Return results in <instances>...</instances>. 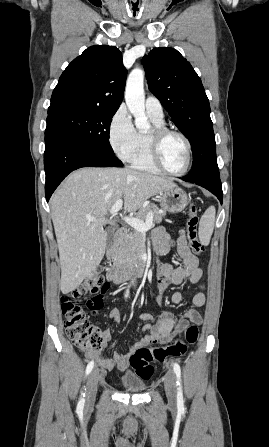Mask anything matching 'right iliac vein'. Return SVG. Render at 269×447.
Instances as JSON below:
<instances>
[{
  "mask_svg": "<svg viewBox=\"0 0 269 447\" xmlns=\"http://www.w3.org/2000/svg\"><path fill=\"white\" fill-rule=\"evenodd\" d=\"M99 378H100L99 370L98 369L92 370L88 377L87 386H86V404L87 405H91L95 402Z\"/></svg>",
  "mask_w": 269,
  "mask_h": 447,
  "instance_id": "right-iliac-vein-1",
  "label": "right iliac vein"
}]
</instances>
